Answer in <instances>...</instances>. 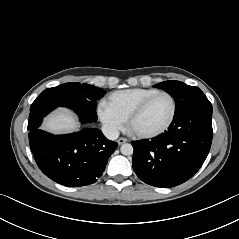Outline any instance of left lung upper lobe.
<instances>
[{
  "mask_svg": "<svg viewBox=\"0 0 239 239\" xmlns=\"http://www.w3.org/2000/svg\"><path fill=\"white\" fill-rule=\"evenodd\" d=\"M155 87L168 92L176 102L175 115L199 105L210 104L204 93L195 86L186 85L180 81H164Z\"/></svg>",
  "mask_w": 239,
  "mask_h": 239,
  "instance_id": "5c2ea615",
  "label": "left lung upper lobe"
}]
</instances>
